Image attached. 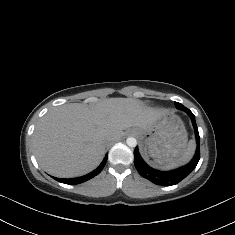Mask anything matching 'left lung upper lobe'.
Masks as SVG:
<instances>
[{"label": "left lung upper lobe", "mask_w": 235, "mask_h": 235, "mask_svg": "<svg viewBox=\"0 0 235 235\" xmlns=\"http://www.w3.org/2000/svg\"><path fill=\"white\" fill-rule=\"evenodd\" d=\"M175 106H176V108H178L180 110H183V111L187 110V108L185 106H183L182 104H180L178 102H175Z\"/></svg>", "instance_id": "1"}]
</instances>
